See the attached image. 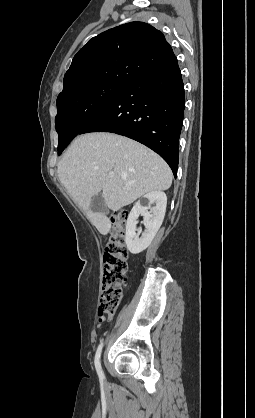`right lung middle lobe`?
Returning <instances> with one entry per match:
<instances>
[{
  "label": "right lung middle lobe",
  "mask_w": 255,
  "mask_h": 418,
  "mask_svg": "<svg viewBox=\"0 0 255 418\" xmlns=\"http://www.w3.org/2000/svg\"><path fill=\"white\" fill-rule=\"evenodd\" d=\"M128 84L97 81L77 86L57 98L55 128L58 155Z\"/></svg>",
  "instance_id": "dd1d6c3e"
}]
</instances>
